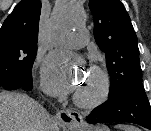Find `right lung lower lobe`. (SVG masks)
Here are the masks:
<instances>
[{
  "instance_id": "1",
  "label": "right lung lower lobe",
  "mask_w": 151,
  "mask_h": 131,
  "mask_svg": "<svg viewBox=\"0 0 151 131\" xmlns=\"http://www.w3.org/2000/svg\"><path fill=\"white\" fill-rule=\"evenodd\" d=\"M3 82H4L3 80H0V88H3L2 86ZM32 87L33 85H32V77H31L30 79L23 81L21 89L29 91L32 89Z\"/></svg>"
}]
</instances>
